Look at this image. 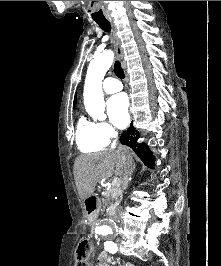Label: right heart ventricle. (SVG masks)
I'll return each instance as SVG.
<instances>
[{"instance_id": "e07e8e85", "label": "right heart ventricle", "mask_w": 221, "mask_h": 266, "mask_svg": "<svg viewBox=\"0 0 221 266\" xmlns=\"http://www.w3.org/2000/svg\"><path fill=\"white\" fill-rule=\"evenodd\" d=\"M76 144L80 151L92 153L103 150L109 143L100 132L97 123L81 117L76 128Z\"/></svg>"}]
</instances>
